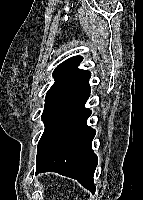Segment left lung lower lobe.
I'll return each instance as SVG.
<instances>
[{
	"instance_id": "0a47b994",
	"label": "left lung lower lobe",
	"mask_w": 143,
	"mask_h": 200,
	"mask_svg": "<svg viewBox=\"0 0 143 200\" xmlns=\"http://www.w3.org/2000/svg\"><path fill=\"white\" fill-rule=\"evenodd\" d=\"M91 74L82 70L74 81L45 105V130L38 143L36 174L57 172L76 179L95 192L93 176L97 156L92 150L95 130L87 126L91 111L85 108L90 96Z\"/></svg>"
}]
</instances>
